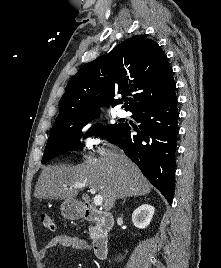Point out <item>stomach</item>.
I'll return each instance as SVG.
<instances>
[{
  "label": "stomach",
  "mask_w": 221,
  "mask_h": 268,
  "mask_svg": "<svg viewBox=\"0 0 221 268\" xmlns=\"http://www.w3.org/2000/svg\"><path fill=\"white\" fill-rule=\"evenodd\" d=\"M61 213L66 219L78 220L83 215V206L76 200H65L61 204Z\"/></svg>",
  "instance_id": "1"
}]
</instances>
